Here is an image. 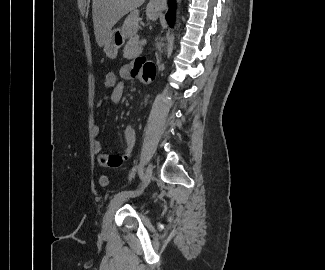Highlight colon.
I'll list each match as a JSON object with an SVG mask.
<instances>
[{
	"label": "colon",
	"instance_id": "1",
	"mask_svg": "<svg viewBox=\"0 0 325 270\" xmlns=\"http://www.w3.org/2000/svg\"><path fill=\"white\" fill-rule=\"evenodd\" d=\"M119 82H120V79L114 71H108L105 74L104 85L106 88L114 89L119 84ZM108 182H109L108 177L106 175L100 176L99 184L102 187H106L108 185Z\"/></svg>",
	"mask_w": 325,
	"mask_h": 270
}]
</instances>
